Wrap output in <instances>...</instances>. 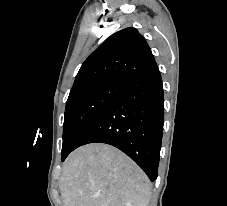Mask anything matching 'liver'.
<instances>
[{
	"label": "liver",
	"instance_id": "liver-1",
	"mask_svg": "<svg viewBox=\"0 0 227 206\" xmlns=\"http://www.w3.org/2000/svg\"><path fill=\"white\" fill-rule=\"evenodd\" d=\"M60 191L63 206H148L151 183L124 153L92 143L67 157Z\"/></svg>",
	"mask_w": 227,
	"mask_h": 206
}]
</instances>
